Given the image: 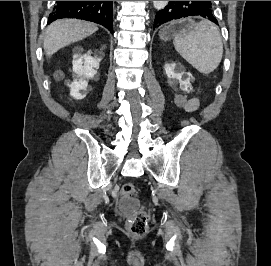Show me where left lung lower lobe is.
<instances>
[{
    "mask_svg": "<svg viewBox=\"0 0 271 266\" xmlns=\"http://www.w3.org/2000/svg\"><path fill=\"white\" fill-rule=\"evenodd\" d=\"M187 16H201L218 24L211 1H169L164 9L157 12L154 26Z\"/></svg>",
    "mask_w": 271,
    "mask_h": 266,
    "instance_id": "left-lung-lower-lobe-1",
    "label": "left lung lower lobe"
}]
</instances>
